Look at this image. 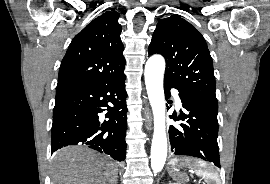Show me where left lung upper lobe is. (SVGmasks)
Listing matches in <instances>:
<instances>
[{
    "label": "left lung upper lobe",
    "mask_w": 270,
    "mask_h": 184,
    "mask_svg": "<svg viewBox=\"0 0 270 184\" xmlns=\"http://www.w3.org/2000/svg\"><path fill=\"white\" fill-rule=\"evenodd\" d=\"M148 53L166 60L165 77L218 110L210 52L203 36L178 15L158 22Z\"/></svg>",
    "instance_id": "1"
}]
</instances>
